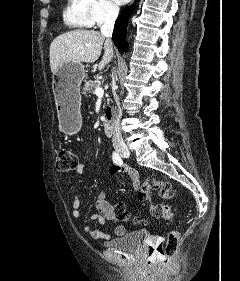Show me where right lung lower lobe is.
Returning <instances> with one entry per match:
<instances>
[{
  "label": "right lung lower lobe",
  "instance_id": "obj_1",
  "mask_svg": "<svg viewBox=\"0 0 240 281\" xmlns=\"http://www.w3.org/2000/svg\"><path fill=\"white\" fill-rule=\"evenodd\" d=\"M136 5V2L132 6L126 7L123 12L120 14V16L117 18L114 31L112 35L113 42L115 46L118 48L121 52H126L128 45L127 43H124V38L126 34V27L129 20V16L131 15L134 7Z\"/></svg>",
  "mask_w": 240,
  "mask_h": 281
}]
</instances>
